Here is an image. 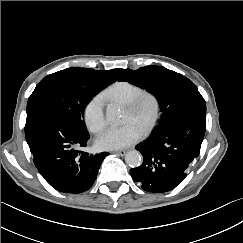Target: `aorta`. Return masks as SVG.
I'll return each instance as SVG.
<instances>
[{"instance_id":"762f6f07","label":"aorta","mask_w":243,"mask_h":243,"mask_svg":"<svg viewBox=\"0 0 243 243\" xmlns=\"http://www.w3.org/2000/svg\"><path fill=\"white\" fill-rule=\"evenodd\" d=\"M121 116V110L116 106H110L106 110V121L110 124L118 123ZM125 162L132 168L139 167L142 163V156L140 152L132 150L126 154Z\"/></svg>"}]
</instances>
